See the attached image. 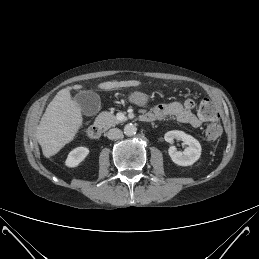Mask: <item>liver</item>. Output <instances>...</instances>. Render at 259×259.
<instances>
[{"instance_id": "obj_1", "label": "liver", "mask_w": 259, "mask_h": 259, "mask_svg": "<svg viewBox=\"0 0 259 259\" xmlns=\"http://www.w3.org/2000/svg\"><path fill=\"white\" fill-rule=\"evenodd\" d=\"M141 82L108 81L98 85L100 89L110 90L122 87H136ZM82 85H74L60 90L49 103L37 127L36 138L42 148L43 155L49 158L57 154L66 144L74 139L82 125L81 107L71 97V89H81Z\"/></svg>"}]
</instances>
